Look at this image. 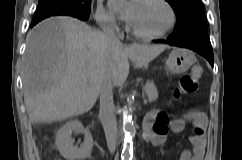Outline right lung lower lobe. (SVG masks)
Returning a JSON list of instances; mask_svg holds the SVG:
<instances>
[{"label":"right lung lower lobe","mask_w":242,"mask_h":160,"mask_svg":"<svg viewBox=\"0 0 242 160\" xmlns=\"http://www.w3.org/2000/svg\"><path fill=\"white\" fill-rule=\"evenodd\" d=\"M37 23H38V22L32 23V24H31V27H33V26H34L35 24H37Z\"/></svg>","instance_id":"1"}]
</instances>
